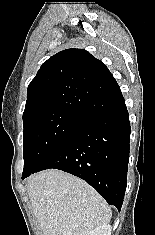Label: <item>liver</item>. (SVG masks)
Segmentation results:
<instances>
[{
  "mask_svg": "<svg viewBox=\"0 0 155 235\" xmlns=\"http://www.w3.org/2000/svg\"><path fill=\"white\" fill-rule=\"evenodd\" d=\"M28 195L43 235H89L112 217L110 207L90 185L60 170L33 175Z\"/></svg>",
  "mask_w": 155,
  "mask_h": 235,
  "instance_id": "liver-1",
  "label": "liver"
}]
</instances>
